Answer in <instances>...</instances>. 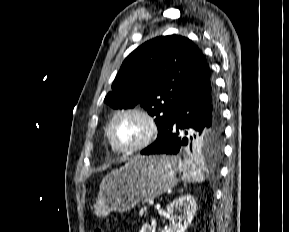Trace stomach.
I'll list each match as a JSON object with an SVG mask.
<instances>
[{
    "instance_id": "obj_1",
    "label": "stomach",
    "mask_w": 289,
    "mask_h": 232,
    "mask_svg": "<svg viewBox=\"0 0 289 232\" xmlns=\"http://www.w3.org/2000/svg\"><path fill=\"white\" fill-rule=\"evenodd\" d=\"M178 159L173 156H137L102 181L93 205L104 217L112 211L127 212L139 202L165 193L177 183Z\"/></svg>"
}]
</instances>
